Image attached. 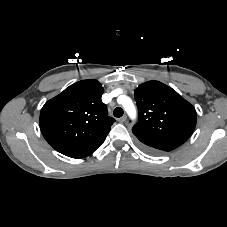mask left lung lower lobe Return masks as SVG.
Instances as JSON below:
<instances>
[{
    "label": "left lung lower lobe",
    "instance_id": "left-lung-lower-lobe-1",
    "mask_svg": "<svg viewBox=\"0 0 227 227\" xmlns=\"http://www.w3.org/2000/svg\"><path fill=\"white\" fill-rule=\"evenodd\" d=\"M145 149H147V150H149V151H152V152H156V151H153V150H151V149H148V148H145Z\"/></svg>",
    "mask_w": 227,
    "mask_h": 227
}]
</instances>
